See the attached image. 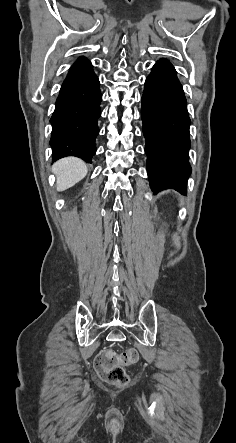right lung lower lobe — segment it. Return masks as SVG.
I'll return each instance as SVG.
<instances>
[{
    "instance_id": "right-lung-lower-lobe-1",
    "label": "right lung lower lobe",
    "mask_w": 236,
    "mask_h": 443,
    "mask_svg": "<svg viewBox=\"0 0 236 443\" xmlns=\"http://www.w3.org/2000/svg\"><path fill=\"white\" fill-rule=\"evenodd\" d=\"M86 58H79L69 69L50 119V145L53 161L76 156L91 163L96 152L102 95L98 77Z\"/></svg>"
}]
</instances>
